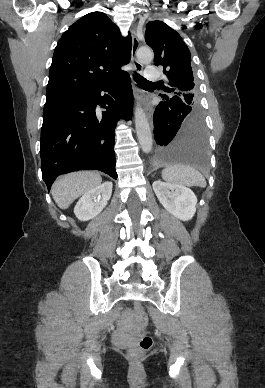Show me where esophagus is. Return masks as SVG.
Returning <instances> with one entry per match:
<instances>
[{
  "mask_svg": "<svg viewBox=\"0 0 265 388\" xmlns=\"http://www.w3.org/2000/svg\"><path fill=\"white\" fill-rule=\"evenodd\" d=\"M131 36H132L131 58L133 61L134 70L137 73H142L143 72V65H142V63H140L136 60V53H137V50L139 48V40L137 37V26L135 24L132 25V27H131ZM146 113H147L148 121H149L150 125L152 126L153 125V110L150 108H146Z\"/></svg>",
  "mask_w": 265,
  "mask_h": 388,
  "instance_id": "1",
  "label": "esophagus"
}]
</instances>
